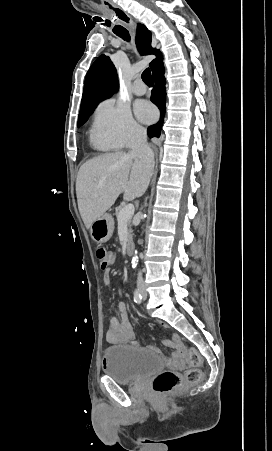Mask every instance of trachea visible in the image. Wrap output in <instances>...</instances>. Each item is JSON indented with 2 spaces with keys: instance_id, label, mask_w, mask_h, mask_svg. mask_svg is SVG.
Instances as JSON below:
<instances>
[{
  "instance_id": "trachea-1",
  "label": "trachea",
  "mask_w": 272,
  "mask_h": 451,
  "mask_svg": "<svg viewBox=\"0 0 272 451\" xmlns=\"http://www.w3.org/2000/svg\"><path fill=\"white\" fill-rule=\"evenodd\" d=\"M116 35H118L119 37H122L123 39H130V35L128 30H126V28L117 27V30H115ZM142 80L143 82H145L147 85H153V80H152V76L150 73V69L147 68L146 70H144V72L142 73Z\"/></svg>"
}]
</instances>
